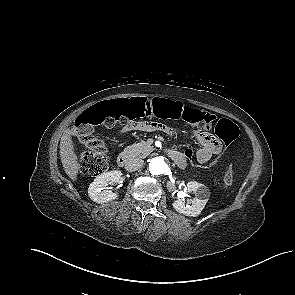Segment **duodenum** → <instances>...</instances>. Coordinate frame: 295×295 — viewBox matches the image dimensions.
I'll list each match as a JSON object with an SVG mask.
<instances>
[{"mask_svg": "<svg viewBox=\"0 0 295 295\" xmlns=\"http://www.w3.org/2000/svg\"><path fill=\"white\" fill-rule=\"evenodd\" d=\"M168 155L177 165L181 166L184 164V158L179 152L174 150H169ZM130 160H131V155L127 152H122L117 157V164L118 166L123 167L126 164H128Z\"/></svg>", "mask_w": 295, "mask_h": 295, "instance_id": "duodenum-1", "label": "duodenum"}]
</instances>
